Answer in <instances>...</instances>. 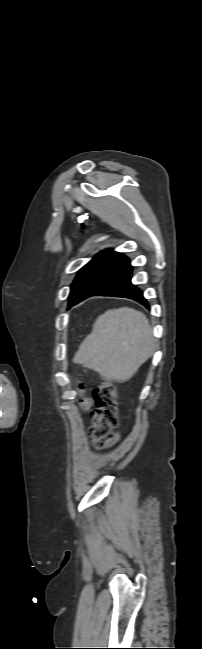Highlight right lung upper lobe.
<instances>
[{"mask_svg": "<svg viewBox=\"0 0 202 649\" xmlns=\"http://www.w3.org/2000/svg\"><path fill=\"white\" fill-rule=\"evenodd\" d=\"M100 254L115 255V256H120V255H122V254L117 253V252H114V251H112V250L102 251Z\"/></svg>", "mask_w": 202, "mask_h": 649, "instance_id": "right-lung-upper-lobe-1", "label": "right lung upper lobe"}]
</instances>
